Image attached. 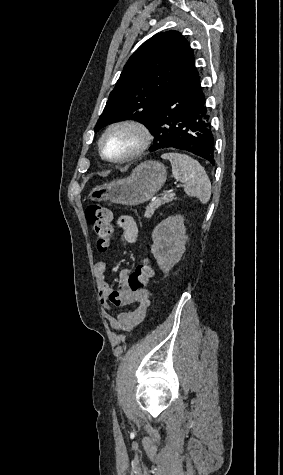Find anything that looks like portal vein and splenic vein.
<instances>
[{
	"mask_svg": "<svg viewBox=\"0 0 283 475\" xmlns=\"http://www.w3.org/2000/svg\"><path fill=\"white\" fill-rule=\"evenodd\" d=\"M169 194H170L171 196H175V195L177 194V191H176L175 189H171V190L169 191Z\"/></svg>",
	"mask_w": 283,
	"mask_h": 475,
	"instance_id": "portal-vein-and-splenic-vein-1",
	"label": "portal vein and splenic vein"
}]
</instances>
